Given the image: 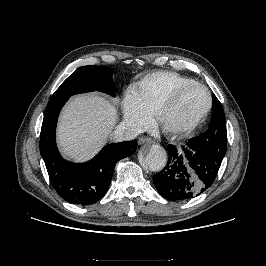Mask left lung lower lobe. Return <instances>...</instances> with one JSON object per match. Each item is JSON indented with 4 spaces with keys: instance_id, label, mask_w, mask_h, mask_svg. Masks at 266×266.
Returning <instances> with one entry per match:
<instances>
[{
    "instance_id": "1",
    "label": "left lung lower lobe",
    "mask_w": 266,
    "mask_h": 266,
    "mask_svg": "<svg viewBox=\"0 0 266 266\" xmlns=\"http://www.w3.org/2000/svg\"><path fill=\"white\" fill-rule=\"evenodd\" d=\"M226 148L218 143L208 152L191 140L181 147L169 144L167 165L153 177L157 191L171 201L200 195L213 184Z\"/></svg>"
}]
</instances>
